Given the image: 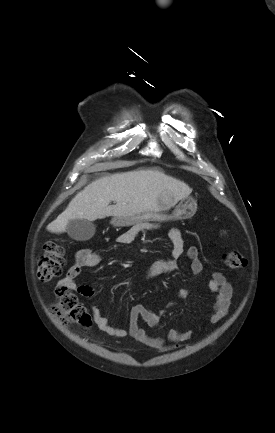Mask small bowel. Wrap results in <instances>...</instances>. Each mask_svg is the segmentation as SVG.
<instances>
[{
	"label": "small bowel",
	"instance_id": "small-bowel-1",
	"mask_svg": "<svg viewBox=\"0 0 275 433\" xmlns=\"http://www.w3.org/2000/svg\"><path fill=\"white\" fill-rule=\"evenodd\" d=\"M139 230L132 228L122 233L117 242L121 245H129L135 240ZM169 238L172 243L171 258L159 260L150 265L144 271L145 279H153L163 273H172L177 270V259L184 253V242L181 232L178 228H172L169 232ZM187 256L191 260V271L193 275H199L203 271V265L199 259L198 249L191 246L187 250ZM102 261L101 255L91 249H82L75 255V262L69 268L66 276L59 282V287H65L71 291L77 292L85 297H92L95 294L94 289L86 284H78L79 277L83 268H92L98 266ZM209 289L215 295V303L212 314L209 317L211 323H217L224 319L229 312L232 298V286L226 277L218 271H213L208 282ZM186 292H180L179 297H186ZM94 320L98 328L117 338H123L129 335L140 343L161 352L173 350L180 346L181 343L189 340L193 336V331H180L171 329L168 333V341L161 336L149 334L145 329L140 327L139 320L150 328L159 327L161 313H155L149 310L143 304H136L132 307L129 314L128 329L111 326L108 320L96 307H91Z\"/></svg>",
	"mask_w": 275,
	"mask_h": 433
}]
</instances>
